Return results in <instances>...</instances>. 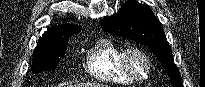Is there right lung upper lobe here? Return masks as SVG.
Listing matches in <instances>:
<instances>
[{"mask_svg": "<svg viewBox=\"0 0 205 87\" xmlns=\"http://www.w3.org/2000/svg\"><path fill=\"white\" fill-rule=\"evenodd\" d=\"M81 30L80 26L64 24L61 26L48 28L47 31L39 38L38 42H51L69 38L74 33Z\"/></svg>", "mask_w": 205, "mask_h": 87, "instance_id": "1", "label": "right lung upper lobe"}]
</instances>
